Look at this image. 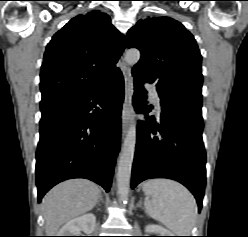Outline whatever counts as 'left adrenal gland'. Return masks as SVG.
Returning <instances> with one entry per match:
<instances>
[{"label": "left adrenal gland", "instance_id": "left-adrenal-gland-1", "mask_svg": "<svg viewBox=\"0 0 248 237\" xmlns=\"http://www.w3.org/2000/svg\"><path fill=\"white\" fill-rule=\"evenodd\" d=\"M137 206L143 208V207H142V200H140V201L138 202Z\"/></svg>", "mask_w": 248, "mask_h": 237}]
</instances>
